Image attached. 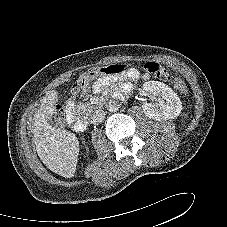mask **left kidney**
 <instances>
[{"instance_id":"obj_1","label":"left kidney","mask_w":227,"mask_h":227,"mask_svg":"<svg viewBox=\"0 0 227 227\" xmlns=\"http://www.w3.org/2000/svg\"><path fill=\"white\" fill-rule=\"evenodd\" d=\"M143 90L150 95L158 96L155 104L144 103V113L154 120H167L177 117L182 110V102L178 95L166 84L158 81H148L143 84Z\"/></svg>"}]
</instances>
